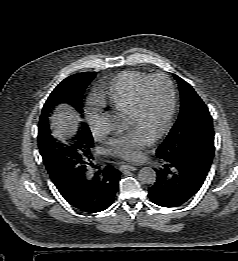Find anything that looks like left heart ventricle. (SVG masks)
<instances>
[{"mask_svg":"<svg viewBox=\"0 0 238 261\" xmlns=\"http://www.w3.org/2000/svg\"><path fill=\"white\" fill-rule=\"evenodd\" d=\"M169 109V94L162 80L153 81L147 88L143 111L139 116L129 114L128 124L153 136L162 126Z\"/></svg>","mask_w":238,"mask_h":261,"instance_id":"b2bd125f","label":"left heart ventricle"}]
</instances>
